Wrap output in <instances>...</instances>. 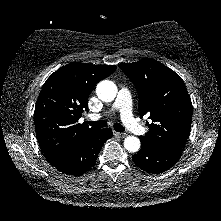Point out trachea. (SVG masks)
<instances>
[{"instance_id": "trachea-1", "label": "trachea", "mask_w": 221, "mask_h": 221, "mask_svg": "<svg viewBox=\"0 0 221 221\" xmlns=\"http://www.w3.org/2000/svg\"><path fill=\"white\" fill-rule=\"evenodd\" d=\"M87 124L95 128H103L107 126V122L104 120H99V121H94V122L87 121ZM113 127H114V130L117 132H123L125 130V128L121 124H118V123L114 124Z\"/></svg>"}]
</instances>
